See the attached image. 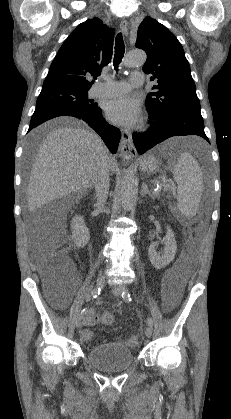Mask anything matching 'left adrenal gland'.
I'll list each match as a JSON object with an SVG mask.
<instances>
[{
  "label": "left adrenal gland",
  "instance_id": "obj_1",
  "mask_svg": "<svg viewBox=\"0 0 231 419\" xmlns=\"http://www.w3.org/2000/svg\"><path fill=\"white\" fill-rule=\"evenodd\" d=\"M146 195L150 196L152 199L155 198V196L153 194H151V192L149 191V189L147 187V184L143 183L142 184V190H141V196H146Z\"/></svg>",
  "mask_w": 231,
  "mask_h": 419
}]
</instances>
